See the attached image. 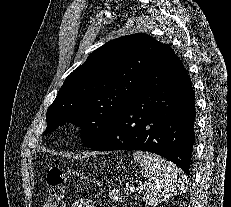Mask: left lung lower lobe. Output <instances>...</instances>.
I'll use <instances>...</instances> for the list:
<instances>
[{
	"instance_id": "1",
	"label": "left lung lower lobe",
	"mask_w": 231,
	"mask_h": 207,
	"mask_svg": "<svg viewBox=\"0 0 231 207\" xmlns=\"http://www.w3.org/2000/svg\"><path fill=\"white\" fill-rule=\"evenodd\" d=\"M194 97L180 58L169 48L150 72L144 91L90 148L153 152L175 163L189 176L195 137Z\"/></svg>"
}]
</instances>
